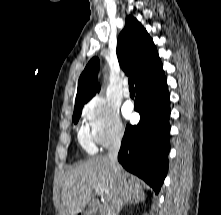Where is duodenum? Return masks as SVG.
<instances>
[{
  "label": "duodenum",
  "instance_id": "410a0bca",
  "mask_svg": "<svg viewBox=\"0 0 221 215\" xmlns=\"http://www.w3.org/2000/svg\"><path fill=\"white\" fill-rule=\"evenodd\" d=\"M76 215H86L85 213H77Z\"/></svg>",
  "mask_w": 221,
  "mask_h": 215
}]
</instances>
